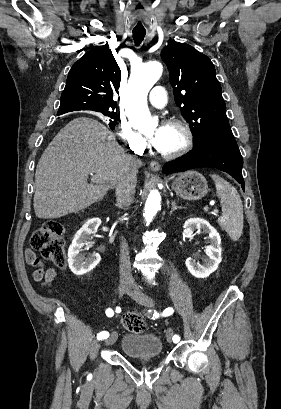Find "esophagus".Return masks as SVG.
<instances>
[{"mask_svg":"<svg viewBox=\"0 0 281 409\" xmlns=\"http://www.w3.org/2000/svg\"><path fill=\"white\" fill-rule=\"evenodd\" d=\"M160 167H161V166H160L159 162H157L156 160H152V161L150 162L149 168H150V170H152L153 172H159Z\"/></svg>","mask_w":281,"mask_h":409,"instance_id":"34e87169","label":"esophagus"}]
</instances>
